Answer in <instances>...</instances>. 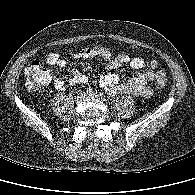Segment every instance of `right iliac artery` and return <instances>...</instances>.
<instances>
[{
  "instance_id": "1",
  "label": "right iliac artery",
  "mask_w": 195,
  "mask_h": 195,
  "mask_svg": "<svg viewBox=\"0 0 195 195\" xmlns=\"http://www.w3.org/2000/svg\"><path fill=\"white\" fill-rule=\"evenodd\" d=\"M86 92H87V93H91V92H92V89H91V88H88V89L86 90Z\"/></svg>"
}]
</instances>
